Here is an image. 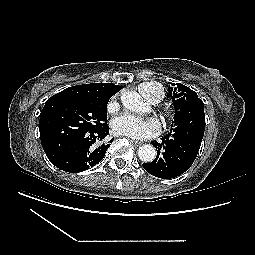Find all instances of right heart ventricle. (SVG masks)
Here are the masks:
<instances>
[{
	"instance_id": "1",
	"label": "right heart ventricle",
	"mask_w": 255,
	"mask_h": 255,
	"mask_svg": "<svg viewBox=\"0 0 255 255\" xmlns=\"http://www.w3.org/2000/svg\"><path fill=\"white\" fill-rule=\"evenodd\" d=\"M137 89L144 99L153 104L160 102L165 96L161 86L156 83H143Z\"/></svg>"
}]
</instances>
